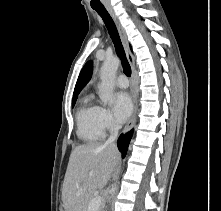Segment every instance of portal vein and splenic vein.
I'll return each instance as SVG.
<instances>
[{
    "mask_svg": "<svg viewBox=\"0 0 221 211\" xmlns=\"http://www.w3.org/2000/svg\"><path fill=\"white\" fill-rule=\"evenodd\" d=\"M101 203H102L101 196L94 197L88 206V211H97L99 209Z\"/></svg>",
    "mask_w": 221,
    "mask_h": 211,
    "instance_id": "18ae733b",
    "label": "portal vein and splenic vein"
}]
</instances>
